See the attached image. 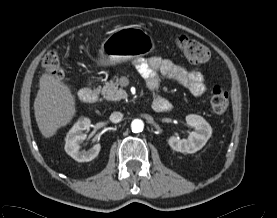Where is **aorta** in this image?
Returning <instances> with one entry per match:
<instances>
[{
	"label": "aorta",
	"mask_w": 277,
	"mask_h": 218,
	"mask_svg": "<svg viewBox=\"0 0 277 218\" xmlns=\"http://www.w3.org/2000/svg\"><path fill=\"white\" fill-rule=\"evenodd\" d=\"M144 128V123L140 119H134L131 123V129L134 133L142 132Z\"/></svg>",
	"instance_id": "1"
}]
</instances>
